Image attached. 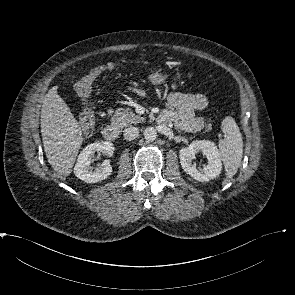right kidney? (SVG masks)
<instances>
[{
  "label": "right kidney",
  "instance_id": "right-kidney-1",
  "mask_svg": "<svg viewBox=\"0 0 295 295\" xmlns=\"http://www.w3.org/2000/svg\"><path fill=\"white\" fill-rule=\"evenodd\" d=\"M95 152L112 156L114 147L111 142H94L86 146L78 156L74 167L75 175L86 183H95L106 179L112 173L109 160H105L99 167L93 168L90 164Z\"/></svg>",
  "mask_w": 295,
  "mask_h": 295
}]
</instances>
